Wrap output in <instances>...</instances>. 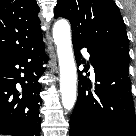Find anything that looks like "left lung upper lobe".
<instances>
[{"mask_svg": "<svg viewBox=\"0 0 136 136\" xmlns=\"http://www.w3.org/2000/svg\"><path fill=\"white\" fill-rule=\"evenodd\" d=\"M55 17L70 21L72 40H80L129 63L126 27L113 0H58Z\"/></svg>", "mask_w": 136, "mask_h": 136, "instance_id": "5c2ea615", "label": "left lung upper lobe"}]
</instances>
